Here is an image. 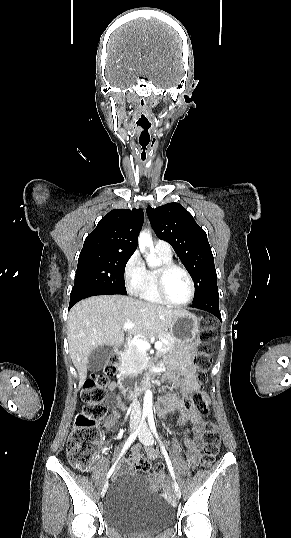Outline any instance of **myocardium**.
<instances>
[{"instance_id":"myocardium-1","label":"myocardium","mask_w":291,"mask_h":538,"mask_svg":"<svg viewBox=\"0 0 291 538\" xmlns=\"http://www.w3.org/2000/svg\"><path fill=\"white\" fill-rule=\"evenodd\" d=\"M174 270H179L182 273H184V275L186 276V278H187V280L189 282V295H188L187 299L185 301H183V302H174V301H172L167 296V293H166L165 279H166L167 275L170 272L174 271ZM155 283H156V290H157V293H158L159 297L162 299V301L164 303H166L168 305L175 306V307H184V306L188 305L194 298L195 285H194L193 278H192L190 272L186 268L181 266V265H178V264H175V263L162 264L156 270Z\"/></svg>"}]
</instances>
